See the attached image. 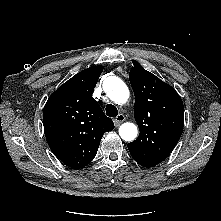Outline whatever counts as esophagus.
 <instances>
[{"mask_svg": "<svg viewBox=\"0 0 221 221\" xmlns=\"http://www.w3.org/2000/svg\"><path fill=\"white\" fill-rule=\"evenodd\" d=\"M125 120V116L123 114H119L114 118L115 126H119Z\"/></svg>", "mask_w": 221, "mask_h": 221, "instance_id": "34e87169", "label": "esophagus"}]
</instances>
